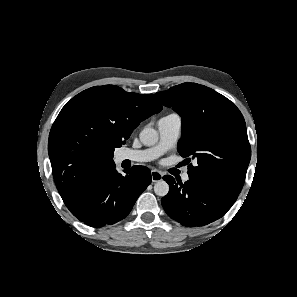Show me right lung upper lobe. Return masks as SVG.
<instances>
[{
  "label": "right lung upper lobe",
  "instance_id": "cb5924a9",
  "mask_svg": "<svg viewBox=\"0 0 297 297\" xmlns=\"http://www.w3.org/2000/svg\"><path fill=\"white\" fill-rule=\"evenodd\" d=\"M162 110L153 94L95 86L73 97L57 116L48 141L56 187L66 206L113 169L114 149L139 123Z\"/></svg>",
  "mask_w": 297,
  "mask_h": 297
}]
</instances>
